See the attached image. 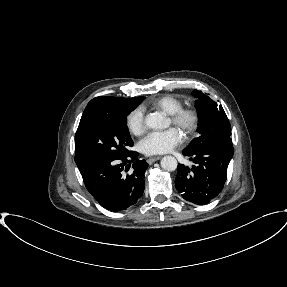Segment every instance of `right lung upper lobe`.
<instances>
[{"label":"right lung upper lobe","instance_id":"1","mask_svg":"<svg viewBox=\"0 0 287 287\" xmlns=\"http://www.w3.org/2000/svg\"><path fill=\"white\" fill-rule=\"evenodd\" d=\"M136 98H119V97H96L92 99L87 107L85 108L83 115L81 117L76 135L75 143L82 131L96 118H98L103 112L108 111L109 109L114 108L115 106L122 104L128 101L137 100ZM76 145V144H75Z\"/></svg>","mask_w":287,"mask_h":287}]
</instances>
